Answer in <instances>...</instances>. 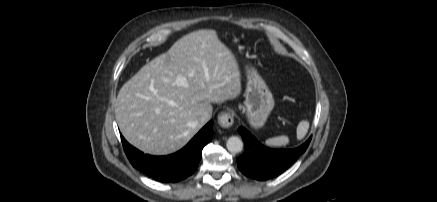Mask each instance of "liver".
<instances>
[{
  "label": "liver",
  "mask_w": 437,
  "mask_h": 202,
  "mask_svg": "<svg viewBox=\"0 0 437 202\" xmlns=\"http://www.w3.org/2000/svg\"><path fill=\"white\" fill-rule=\"evenodd\" d=\"M177 76L187 80L178 86ZM241 92L238 62L213 30L191 32L144 65L120 89L115 102L119 129L133 146L152 155L184 147L202 128L211 103Z\"/></svg>",
  "instance_id": "liver-1"
}]
</instances>
